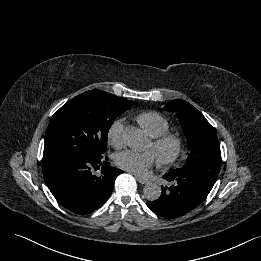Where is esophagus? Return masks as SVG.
<instances>
[{
    "mask_svg": "<svg viewBox=\"0 0 261 261\" xmlns=\"http://www.w3.org/2000/svg\"><path fill=\"white\" fill-rule=\"evenodd\" d=\"M137 181L141 184H147L149 181L142 177H136Z\"/></svg>",
    "mask_w": 261,
    "mask_h": 261,
    "instance_id": "obj_1",
    "label": "esophagus"
}]
</instances>
